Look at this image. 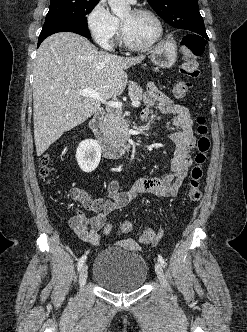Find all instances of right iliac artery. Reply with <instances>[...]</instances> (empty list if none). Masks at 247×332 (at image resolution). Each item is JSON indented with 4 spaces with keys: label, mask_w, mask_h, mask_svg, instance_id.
I'll use <instances>...</instances> for the list:
<instances>
[{
    "label": "right iliac artery",
    "mask_w": 247,
    "mask_h": 332,
    "mask_svg": "<svg viewBox=\"0 0 247 332\" xmlns=\"http://www.w3.org/2000/svg\"><path fill=\"white\" fill-rule=\"evenodd\" d=\"M86 260V255H83L79 261H78V264H77V270L80 271L82 266H83V263L84 261Z\"/></svg>",
    "instance_id": "obj_1"
}]
</instances>
